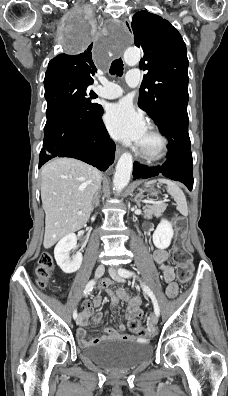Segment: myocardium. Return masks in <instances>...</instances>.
<instances>
[{
    "label": "myocardium",
    "instance_id": "obj_1",
    "mask_svg": "<svg viewBox=\"0 0 228 396\" xmlns=\"http://www.w3.org/2000/svg\"><path fill=\"white\" fill-rule=\"evenodd\" d=\"M148 132L156 137L158 140V147L154 151H147L139 146L138 154L141 158L147 161L156 162L165 157L168 148V141L163 133L154 126H150L148 128Z\"/></svg>",
    "mask_w": 228,
    "mask_h": 396
}]
</instances>
